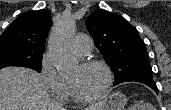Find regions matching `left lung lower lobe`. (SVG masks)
<instances>
[{
	"instance_id": "left-lung-lower-lobe-1",
	"label": "left lung lower lobe",
	"mask_w": 171,
	"mask_h": 110,
	"mask_svg": "<svg viewBox=\"0 0 171 110\" xmlns=\"http://www.w3.org/2000/svg\"><path fill=\"white\" fill-rule=\"evenodd\" d=\"M144 84H146L147 86L152 88L158 94V88H157L155 82H144Z\"/></svg>"
}]
</instances>
